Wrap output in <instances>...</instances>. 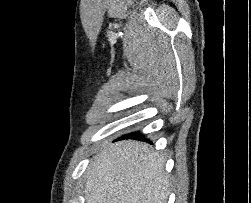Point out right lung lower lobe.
I'll use <instances>...</instances> for the list:
<instances>
[{
  "instance_id": "obj_1",
  "label": "right lung lower lobe",
  "mask_w": 251,
  "mask_h": 203,
  "mask_svg": "<svg viewBox=\"0 0 251 203\" xmlns=\"http://www.w3.org/2000/svg\"><path fill=\"white\" fill-rule=\"evenodd\" d=\"M127 138L144 140L143 135L141 133H129V134L123 135V137H121V138H119L117 140L127 139Z\"/></svg>"
}]
</instances>
